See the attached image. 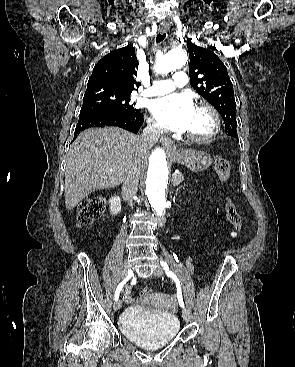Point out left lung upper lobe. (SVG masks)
<instances>
[{
  "label": "left lung upper lobe",
  "mask_w": 295,
  "mask_h": 367,
  "mask_svg": "<svg viewBox=\"0 0 295 367\" xmlns=\"http://www.w3.org/2000/svg\"><path fill=\"white\" fill-rule=\"evenodd\" d=\"M192 87L220 113L229 136L237 135L233 84L226 66L212 51L187 41Z\"/></svg>",
  "instance_id": "obj_1"
}]
</instances>
